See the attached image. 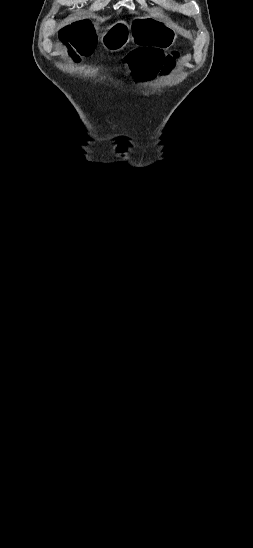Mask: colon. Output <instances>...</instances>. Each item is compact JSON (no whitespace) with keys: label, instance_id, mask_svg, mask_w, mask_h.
Masks as SVG:
<instances>
[{"label":"colon","instance_id":"colon-1","mask_svg":"<svg viewBox=\"0 0 253 548\" xmlns=\"http://www.w3.org/2000/svg\"><path fill=\"white\" fill-rule=\"evenodd\" d=\"M61 38L79 54L89 51L95 41L86 20H77L65 26L61 30ZM176 57V53L165 55L164 49L139 48L128 53L126 63L133 72L141 73L143 79H156L158 74H168Z\"/></svg>","mask_w":253,"mask_h":548}]
</instances>
